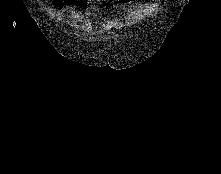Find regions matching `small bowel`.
<instances>
[{
	"mask_svg": "<svg viewBox=\"0 0 221 174\" xmlns=\"http://www.w3.org/2000/svg\"><path fill=\"white\" fill-rule=\"evenodd\" d=\"M122 2H127L128 0H121ZM55 6L59 8L67 7L68 5H73L76 3H83V0H53Z\"/></svg>",
	"mask_w": 221,
	"mask_h": 174,
	"instance_id": "obj_1",
	"label": "small bowel"
}]
</instances>
